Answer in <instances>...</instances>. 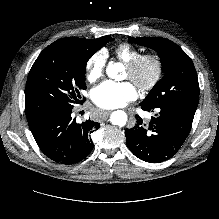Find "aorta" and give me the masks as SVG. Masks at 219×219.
Here are the masks:
<instances>
[{
	"instance_id": "aorta-1",
	"label": "aorta",
	"mask_w": 219,
	"mask_h": 219,
	"mask_svg": "<svg viewBox=\"0 0 219 219\" xmlns=\"http://www.w3.org/2000/svg\"><path fill=\"white\" fill-rule=\"evenodd\" d=\"M120 63H109L106 68V74L111 79H116L120 70ZM110 122L119 127H123L127 123V114L122 110L114 111L110 116Z\"/></svg>"
}]
</instances>
